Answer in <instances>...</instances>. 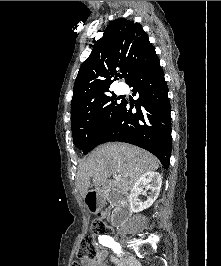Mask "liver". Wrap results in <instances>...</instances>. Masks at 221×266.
Segmentation results:
<instances>
[{
  "label": "liver",
  "instance_id": "6515ba94",
  "mask_svg": "<svg viewBox=\"0 0 221 266\" xmlns=\"http://www.w3.org/2000/svg\"><path fill=\"white\" fill-rule=\"evenodd\" d=\"M158 167V159L144 149L126 143H107L94 149L80 164L76 186L85 197L92 178L94 186L104 185L105 188L126 193L141 175L155 171ZM112 175H120L121 180L107 182Z\"/></svg>",
  "mask_w": 221,
  "mask_h": 266
}]
</instances>
